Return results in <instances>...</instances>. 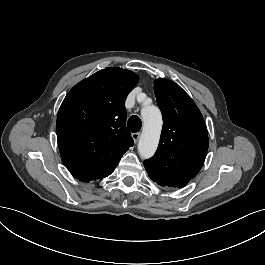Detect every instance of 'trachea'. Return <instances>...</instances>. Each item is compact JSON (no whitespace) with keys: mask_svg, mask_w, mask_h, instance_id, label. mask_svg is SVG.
I'll list each match as a JSON object with an SVG mask.
<instances>
[{"mask_svg":"<svg viewBox=\"0 0 265 265\" xmlns=\"http://www.w3.org/2000/svg\"><path fill=\"white\" fill-rule=\"evenodd\" d=\"M142 126L141 119L137 115H133L128 119L127 127L131 132H139Z\"/></svg>","mask_w":265,"mask_h":265,"instance_id":"trachea-1","label":"trachea"}]
</instances>
